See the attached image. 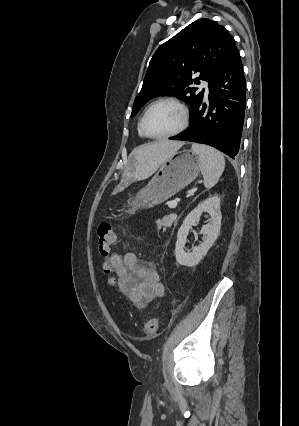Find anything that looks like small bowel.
Here are the masks:
<instances>
[{
    "label": "small bowel",
    "mask_w": 299,
    "mask_h": 426,
    "mask_svg": "<svg viewBox=\"0 0 299 426\" xmlns=\"http://www.w3.org/2000/svg\"><path fill=\"white\" fill-rule=\"evenodd\" d=\"M108 265L116 274L119 289L136 306L143 307L164 294L156 267L139 261L135 253H114Z\"/></svg>",
    "instance_id": "1"
}]
</instances>
